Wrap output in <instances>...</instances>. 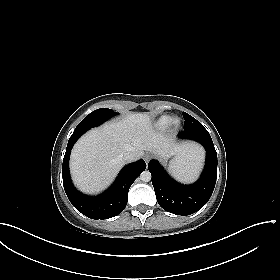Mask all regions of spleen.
<instances>
[{
	"label": "spleen",
	"mask_w": 280,
	"mask_h": 280,
	"mask_svg": "<svg viewBox=\"0 0 280 280\" xmlns=\"http://www.w3.org/2000/svg\"><path fill=\"white\" fill-rule=\"evenodd\" d=\"M202 161V152L191 157H176L170 163L169 170L176 179L183 182H191L198 176Z\"/></svg>",
	"instance_id": "obj_1"
}]
</instances>
